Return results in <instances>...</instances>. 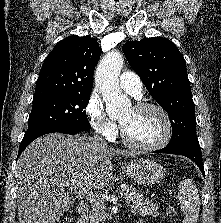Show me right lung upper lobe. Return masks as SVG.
<instances>
[{
    "instance_id": "cb5924a9",
    "label": "right lung upper lobe",
    "mask_w": 221,
    "mask_h": 223,
    "mask_svg": "<svg viewBox=\"0 0 221 223\" xmlns=\"http://www.w3.org/2000/svg\"><path fill=\"white\" fill-rule=\"evenodd\" d=\"M100 58L98 42L90 36H69L46 57L34 99L91 93L94 68Z\"/></svg>"
}]
</instances>
